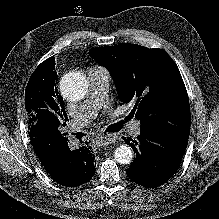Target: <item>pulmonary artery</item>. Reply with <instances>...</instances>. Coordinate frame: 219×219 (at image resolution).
<instances>
[{"instance_id":"obj_1","label":"pulmonary artery","mask_w":219,"mask_h":219,"mask_svg":"<svg viewBox=\"0 0 219 219\" xmlns=\"http://www.w3.org/2000/svg\"><path fill=\"white\" fill-rule=\"evenodd\" d=\"M88 77L90 81V93L73 116L74 129H80L90 123L97 111L107 102L110 82L109 72L102 67H91L88 70ZM129 128L134 136H138L141 131V123L139 121H133L129 124Z\"/></svg>"}]
</instances>
